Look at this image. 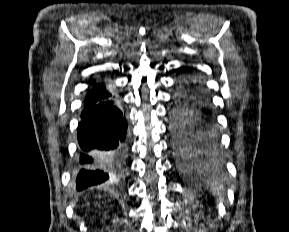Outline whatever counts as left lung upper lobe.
I'll use <instances>...</instances> for the list:
<instances>
[{
  "label": "left lung upper lobe",
  "mask_w": 289,
  "mask_h": 232,
  "mask_svg": "<svg viewBox=\"0 0 289 232\" xmlns=\"http://www.w3.org/2000/svg\"><path fill=\"white\" fill-rule=\"evenodd\" d=\"M174 145L177 150L188 153H212L219 144L202 136L189 116L175 113L172 124Z\"/></svg>",
  "instance_id": "5c2ea615"
}]
</instances>
